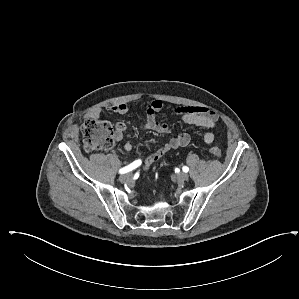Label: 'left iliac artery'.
Listing matches in <instances>:
<instances>
[{"label":"left iliac artery","mask_w":299,"mask_h":299,"mask_svg":"<svg viewBox=\"0 0 299 299\" xmlns=\"http://www.w3.org/2000/svg\"><path fill=\"white\" fill-rule=\"evenodd\" d=\"M182 169L185 173H187L189 171V168L187 166H184Z\"/></svg>","instance_id":"44dca946"}]
</instances>
